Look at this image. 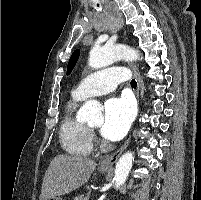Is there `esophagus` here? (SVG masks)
I'll return each mask as SVG.
<instances>
[{
	"mask_svg": "<svg viewBox=\"0 0 201 200\" xmlns=\"http://www.w3.org/2000/svg\"><path fill=\"white\" fill-rule=\"evenodd\" d=\"M129 66L132 69L134 77L136 78V81H137L136 94H137V100L139 102V100H140V89H141V85H142L141 75H140V72H139V70L135 64L130 63ZM130 141H131V136L125 141V143L115 153H113L109 157H106L105 159H103L100 162V168H102V169L111 168L113 166V164L116 163V161L118 160L120 155L123 153V151L128 147Z\"/></svg>",
	"mask_w": 201,
	"mask_h": 200,
	"instance_id": "esophagus-1",
	"label": "esophagus"
}]
</instances>
